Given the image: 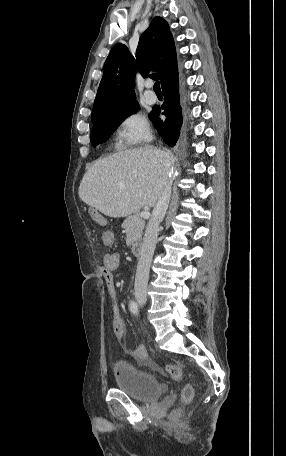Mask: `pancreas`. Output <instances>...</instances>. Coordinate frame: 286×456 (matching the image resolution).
<instances>
[{
    "instance_id": "obj_1",
    "label": "pancreas",
    "mask_w": 286,
    "mask_h": 456,
    "mask_svg": "<svg viewBox=\"0 0 286 456\" xmlns=\"http://www.w3.org/2000/svg\"><path fill=\"white\" fill-rule=\"evenodd\" d=\"M145 221L138 214L129 216L122 223V228L126 232V244L131 246L142 239Z\"/></svg>"
}]
</instances>
